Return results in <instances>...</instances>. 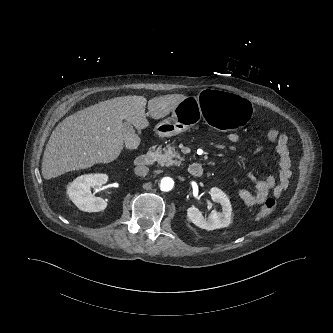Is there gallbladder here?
<instances>
[{
  "label": "gallbladder",
  "mask_w": 333,
  "mask_h": 333,
  "mask_svg": "<svg viewBox=\"0 0 333 333\" xmlns=\"http://www.w3.org/2000/svg\"><path fill=\"white\" fill-rule=\"evenodd\" d=\"M122 133L125 139V144L130 149H135L140 143L139 137L135 134L133 126L125 122L122 124Z\"/></svg>",
  "instance_id": "bac80fb5"
}]
</instances>
